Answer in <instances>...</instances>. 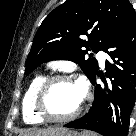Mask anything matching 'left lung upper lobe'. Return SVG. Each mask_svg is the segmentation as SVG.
<instances>
[{"mask_svg": "<svg viewBox=\"0 0 136 136\" xmlns=\"http://www.w3.org/2000/svg\"><path fill=\"white\" fill-rule=\"evenodd\" d=\"M131 7L128 0H67L39 27L26 61L25 74L44 62L70 60L78 63L90 79L98 64L93 58L85 59V55L88 51L103 50Z\"/></svg>", "mask_w": 136, "mask_h": 136, "instance_id": "1", "label": "left lung upper lobe"}]
</instances>
